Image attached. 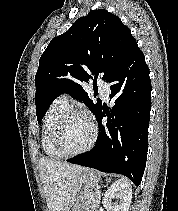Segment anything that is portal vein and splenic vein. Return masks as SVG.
Here are the masks:
<instances>
[{
    "label": "portal vein and splenic vein",
    "instance_id": "obj_1",
    "mask_svg": "<svg viewBox=\"0 0 178 211\" xmlns=\"http://www.w3.org/2000/svg\"><path fill=\"white\" fill-rule=\"evenodd\" d=\"M97 194H100V191H97Z\"/></svg>",
    "mask_w": 178,
    "mask_h": 211
}]
</instances>
